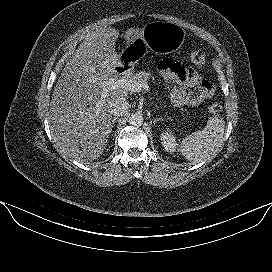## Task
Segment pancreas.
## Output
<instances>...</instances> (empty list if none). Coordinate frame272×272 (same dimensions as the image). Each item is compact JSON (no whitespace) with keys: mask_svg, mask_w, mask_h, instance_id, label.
I'll use <instances>...</instances> for the list:
<instances>
[{"mask_svg":"<svg viewBox=\"0 0 272 272\" xmlns=\"http://www.w3.org/2000/svg\"><path fill=\"white\" fill-rule=\"evenodd\" d=\"M152 77L151 73L141 71L132 76V80L139 83H148V80Z\"/></svg>","mask_w":272,"mask_h":272,"instance_id":"cf45deb5","label":"pancreas"}]
</instances>
